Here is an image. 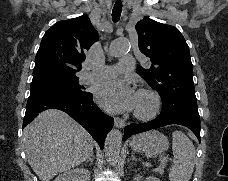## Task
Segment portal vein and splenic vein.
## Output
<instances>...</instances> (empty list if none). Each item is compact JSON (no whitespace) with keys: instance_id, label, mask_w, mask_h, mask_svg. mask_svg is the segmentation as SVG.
<instances>
[{"instance_id":"1","label":"portal vein and splenic vein","mask_w":228,"mask_h":181,"mask_svg":"<svg viewBox=\"0 0 228 181\" xmlns=\"http://www.w3.org/2000/svg\"><path fill=\"white\" fill-rule=\"evenodd\" d=\"M164 159H166V157H164ZM171 161H172V159H171ZM162 163H165V161H162ZM162 167L165 169L167 166L164 164ZM158 170H159L158 166H153V167L150 168L149 173L153 174L154 171H158Z\"/></svg>"}]
</instances>
